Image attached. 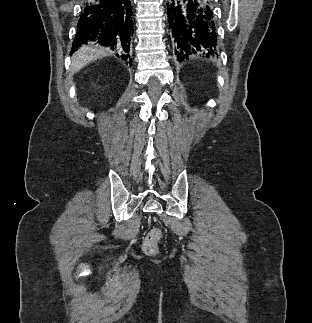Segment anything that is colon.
Listing matches in <instances>:
<instances>
[{"label": "colon", "mask_w": 312, "mask_h": 323, "mask_svg": "<svg viewBox=\"0 0 312 323\" xmlns=\"http://www.w3.org/2000/svg\"><path fill=\"white\" fill-rule=\"evenodd\" d=\"M160 233L153 231L152 234L148 235L143 242V250L146 253H156L158 250V238Z\"/></svg>", "instance_id": "1"}]
</instances>
